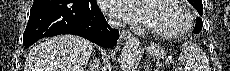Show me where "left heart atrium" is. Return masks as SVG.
<instances>
[{"instance_id":"obj_1","label":"left heart atrium","mask_w":230,"mask_h":71,"mask_svg":"<svg viewBox=\"0 0 230 71\" xmlns=\"http://www.w3.org/2000/svg\"><path fill=\"white\" fill-rule=\"evenodd\" d=\"M146 0H104L102 6L111 16L130 24H143L148 21Z\"/></svg>"}]
</instances>
